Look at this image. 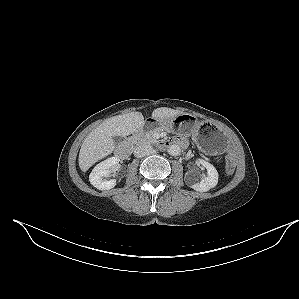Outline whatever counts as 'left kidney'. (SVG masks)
Returning a JSON list of instances; mask_svg holds the SVG:
<instances>
[{"instance_id": "1", "label": "left kidney", "mask_w": 299, "mask_h": 299, "mask_svg": "<svg viewBox=\"0 0 299 299\" xmlns=\"http://www.w3.org/2000/svg\"><path fill=\"white\" fill-rule=\"evenodd\" d=\"M196 163L198 165L201 164L207 169V176L202 177L200 182H196L195 174L192 171H188L185 174V183L199 192H206L211 188H214L218 183V172L216 168L202 159L197 160Z\"/></svg>"}]
</instances>
